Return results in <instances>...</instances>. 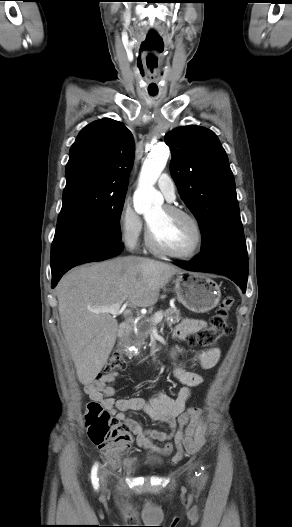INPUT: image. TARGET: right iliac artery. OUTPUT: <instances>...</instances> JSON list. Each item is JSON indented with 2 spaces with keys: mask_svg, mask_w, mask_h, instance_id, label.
I'll use <instances>...</instances> for the list:
<instances>
[{
  "mask_svg": "<svg viewBox=\"0 0 292 527\" xmlns=\"http://www.w3.org/2000/svg\"><path fill=\"white\" fill-rule=\"evenodd\" d=\"M97 470H98V465L95 464L91 471V480H92V484L95 489H98L99 487V478L97 477Z\"/></svg>",
  "mask_w": 292,
  "mask_h": 527,
  "instance_id": "1",
  "label": "right iliac artery"
}]
</instances>
